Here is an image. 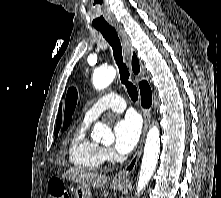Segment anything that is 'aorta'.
Returning <instances> with one entry per match:
<instances>
[{
    "instance_id": "1",
    "label": "aorta",
    "mask_w": 221,
    "mask_h": 198,
    "mask_svg": "<svg viewBox=\"0 0 221 198\" xmlns=\"http://www.w3.org/2000/svg\"><path fill=\"white\" fill-rule=\"evenodd\" d=\"M116 77L113 67L96 69L93 72L92 83L95 89L102 90L108 87ZM94 139L108 140L113 137L111 130L103 123H95L92 131ZM160 153V132L158 126L152 125L147 133L141 169L137 182V193L139 194L148 184L156 168Z\"/></svg>"
}]
</instances>
